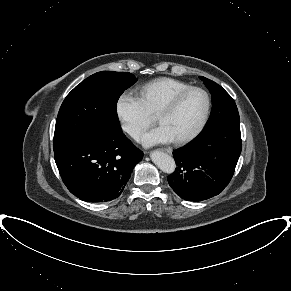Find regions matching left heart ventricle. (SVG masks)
<instances>
[{"label":"left heart ventricle","instance_id":"b2bd125f","mask_svg":"<svg viewBox=\"0 0 291 291\" xmlns=\"http://www.w3.org/2000/svg\"><path fill=\"white\" fill-rule=\"evenodd\" d=\"M206 105L202 93L194 91L187 94L169 114L160 120V126L164 127L173 140L189 135L200 122Z\"/></svg>","mask_w":291,"mask_h":291}]
</instances>
